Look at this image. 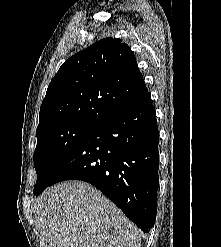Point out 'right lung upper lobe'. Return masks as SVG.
Here are the masks:
<instances>
[{"label":"right lung upper lobe","instance_id":"obj_1","mask_svg":"<svg viewBox=\"0 0 221 247\" xmlns=\"http://www.w3.org/2000/svg\"><path fill=\"white\" fill-rule=\"evenodd\" d=\"M147 91L130 47L104 38L62 64L48 86L36 133L72 122L98 124Z\"/></svg>","mask_w":221,"mask_h":247}]
</instances>
